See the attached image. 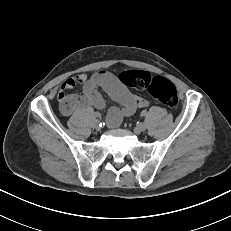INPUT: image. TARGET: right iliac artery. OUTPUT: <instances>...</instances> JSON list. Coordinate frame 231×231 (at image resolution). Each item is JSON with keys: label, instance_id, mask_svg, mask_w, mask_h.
<instances>
[{"label": "right iliac artery", "instance_id": "obj_1", "mask_svg": "<svg viewBox=\"0 0 231 231\" xmlns=\"http://www.w3.org/2000/svg\"><path fill=\"white\" fill-rule=\"evenodd\" d=\"M94 116L97 117V118H100L101 117V114L99 112H95L94 113Z\"/></svg>", "mask_w": 231, "mask_h": 231}]
</instances>
